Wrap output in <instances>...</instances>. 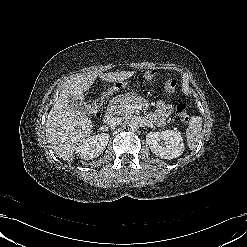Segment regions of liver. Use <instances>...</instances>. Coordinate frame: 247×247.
I'll list each match as a JSON object with an SVG mask.
<instances>
[{
  "mask_svg": "<svg viewBox=\"0 0 247 247\" xmlns=\"http://www.w3.org/2000/svg\"><path fill=\"white\" fill-rule=\"evenodd\" d=\"M134 74V71H90L75 74L61 85L59 96L45 124L48 143L52 144V149L59 158L72 160L76 145L85 141L93 131L92 120L85 112L72 106L69 98L72 96L76 100H84V92L92 86L97 77L112 83L126 80Z\"/></svg>",
  "mask_w": 247,
  "mask_h": 247,
  "instance_id": "liver-1",
  "label": "liver"
}]
</instances>
